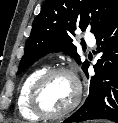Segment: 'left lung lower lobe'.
I'll return each instance as SVG.
<instances>
[{"mask_svg":"<svg viewBox=\"0 0 118 123\" xmlns=\"http://www.w3.org/2000/svg\"><path fill=\"white\" fill-rule=\"evenodd\" d=\"M97 52L89 95L80 109L64 122L108 119L118 123V16L96 36ZM89 64L83 70L88 77Z\"/></svg>","mask_w":118,"mask_h":123,"instance_id":"1","label":"left lung lower lobe"}]
</instances>
